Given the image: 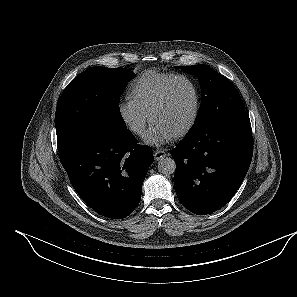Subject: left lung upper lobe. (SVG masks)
Here are the masks:
<instances>
[{
  "label": "left lung upper lobe",
  "instance_id": "5c2ea615",
  "mask_svg": "<svg viewBox=\"0 0 297 297\" xmlns=\"http://www.w3.org/2000/svg\"><path fill=\"white\" fill-rule=\"evenodd\" d=\"M181 69L198 78L203 93L201 107L191 131L203 128L236 111L245 110L234 85L210 66L199 64L181 66Z\"/></svg>",
  "mask_w": 297,
  "mask_h": 297
}]
</instances>
